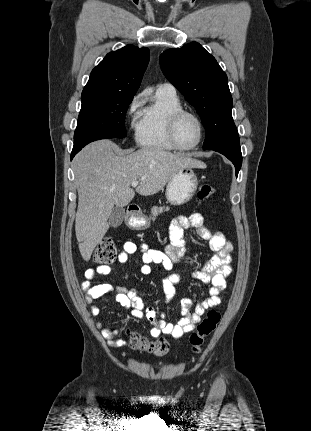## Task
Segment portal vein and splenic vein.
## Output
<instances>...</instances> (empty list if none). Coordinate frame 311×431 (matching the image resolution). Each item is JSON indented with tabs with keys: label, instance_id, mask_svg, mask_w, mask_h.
Returning <instances> with one entry per match:
<instances>
[{
	"label": "portal vein and splenic vein",
	"instance_id": "18ae733b",
	"mask_svg": "<svg viewBox=\"0 0 311 431\" xmlns=\"http://www.w3.org/2000/svg\"><path fill=\"white\" fill-rule=\"evenodd\" d=\"M140 180H137V182H132L131 186L132 188H136V186H138Z\"/></svg>",
	"mask_w": 311,
	"mask_h": 431
}]
</instances>
